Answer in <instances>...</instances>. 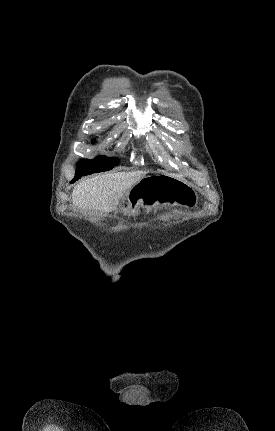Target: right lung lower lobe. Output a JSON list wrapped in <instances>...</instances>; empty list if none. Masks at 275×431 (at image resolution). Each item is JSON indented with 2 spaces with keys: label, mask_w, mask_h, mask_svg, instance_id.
Listing matches in <instances>:
<instances>
[{
  "label": "right lung lower lobe",
  "mask_w": 275,
  "mask_h": 431,
  "mask_svg": "<svg viewBox=\"0 0 275 431\" xmlns=\"http://www.w3.org/2000/svg\"><path fill=\"white\" fill-rule=\"evenodd\" d=\"M75 182V180H72L71 183Z\"/></svg>",
  "instance_id": "1"
}]
</instances>
